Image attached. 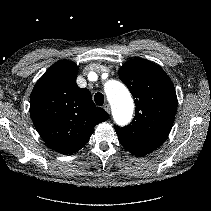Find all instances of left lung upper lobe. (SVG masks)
I'll return each instance as SVG.
<instances>
[{
  "instance_id": "5c2ea615",
  "label": "left lung upper lobe",
  "mask_w": 211,
  "mask_h": 211,
  "mask_svg": "<svg viewBox=\"0 0 211 211\" xmlns=\"http://www.w3.org/2000/svg\"><path fill=\"white\" fill-rule=\"evenodd\" d=\"M121 81L135 98L134 120L115 126L119 139L160 146L168 137L177 110L174 85L163 69L146 59H134L119 69Z\"/></svg>"
}]
</instances>
